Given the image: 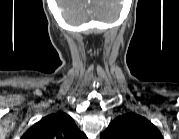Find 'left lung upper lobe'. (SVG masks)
Segmentation results:
<instances>
[{
  "instance_id": "5c2ea615",
  "label": "left lung upper lobe",
  "mask_w": 179,
  "mask_h": 139,
  "mask_svg": "<svg viewBox=\"0 0 179 139\" xmlns=\"http://www.w3.org/2000/svg\"><path fill=\"white\" fill-rule=\"evenodd\" d=\"M102 137L104 139H163L160 131L149 120L135 113L115 118Z\"/></svg>"
}]
</instances>
